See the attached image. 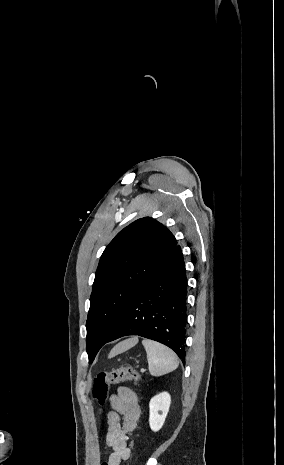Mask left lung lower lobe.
Instances as JSON below:
<instances>
[{"mask_svg": "<svg viewBox=\"0 0 284 465\" xmlns=\"http://www.w3.org/2000/svg\"><path fill=\"white\" fill-rule=\"evenodd\" d=\"M187 278L176 245L165 262L134 295L105 344L138 335L170 347L184 363Z\"/></svg>", "mask_w": 284, "mask_h": 465, "instance_id": "0a47b994", "label": "left lung lower lobe"}]
</instances>
